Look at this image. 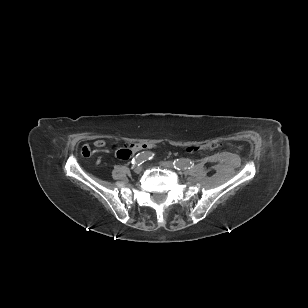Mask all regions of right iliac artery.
Segmentation results:
<instances>
[{
	"label": "right iliac artery",
	"mask_w": 308,
	"mask_h": 308,
	"mask_svg": "<svg viewBox=\"0 0 308 308\" xmlns=\"http://www.w3.org/2000/svg\"><path fill=\"white\" fill-rule=\"evenodd\" d=\"M154 156L152 152H141L138 153L135 158L132 160V164L134 165H141L142 163L146 162L147 160H151Z\"/></svg>",
	"instance_id": "1"
}]
</instances>
